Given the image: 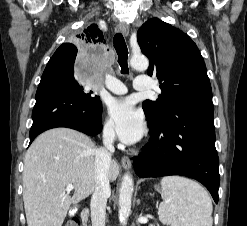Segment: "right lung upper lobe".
<instances>
[{
  "label": "right lung upper lobe",
  "instance_id": "cb5924a9",
  "mask_svg": "<svg viewBox=\"0 0 247 226\" xmlns=\"http://www.w3.org/2000/svg\"><path fill=\"white\" fill-rule=\"evenodd\" d=\"M77 37L81 41H83L84 44H88L89 46L105 43L104 33L99 28V26L95 23L87 26L84 29L83 33H81L80 35H77ZM61 55L76 56L77 55L76 46L71 43H64L55 51L52 58L59 59Z\"/></svg>",
  "mask_w": 247,
  "mask_h": 226
}]
</instances>
